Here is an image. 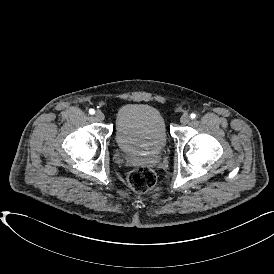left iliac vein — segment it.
Returning <instances> with one entry per match:
<instances>
[{
  "label": "left iliac vein",
  "mask_w": 274,
  "mask_h": 274,
  "mask_svg": "<svg viewBox=\"0 0 274 274\" xmlns=\"http://www.w3.org/2000/svg\"><path fill=\"white\" fill-rule=\"evenodd\" d=\"M191 118L188 114H184L181 116L180 118V122L183 124V125H186L190 122Z\"/></svg>",
  "instance_id": "left-iliac-vein-1"
}]
</instances>
